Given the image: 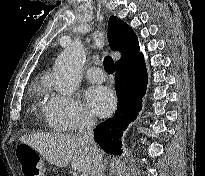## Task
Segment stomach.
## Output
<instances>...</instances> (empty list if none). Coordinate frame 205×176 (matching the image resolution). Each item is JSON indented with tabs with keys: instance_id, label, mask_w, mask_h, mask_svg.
<instances>
[{
	"instance_id": "0dacf381",
	"label": "stomach",
	"mask_w": 205,
	"mask_h": 176,
	"mask_svg": "<svg viewBox=\"0 0 205 176\" xmlns=\"http://www.w3.org/2000/svg\"><path fill=\"white\" fill-rule=\"evenodd\" d=\"M21 145H24L21 147V149L27 150L28 152L33 151L36 153V151L32 147H30L29 145H27V144H21Z\"/></svg>"
}]
</instances>
